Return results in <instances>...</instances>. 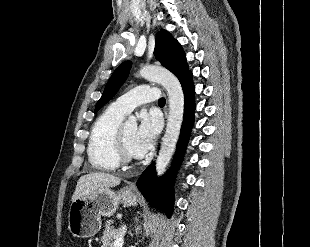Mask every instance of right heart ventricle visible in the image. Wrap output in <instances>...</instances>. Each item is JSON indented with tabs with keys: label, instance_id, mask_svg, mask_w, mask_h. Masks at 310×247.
<instances>
[{
	"label": "right heart ventricle",
	"instance_id": "1",
	"mask_svg": "<svg viewBox=\"0 0 310 247\" xmlns=\"http://www.w3.org/2000/svg\"><path fill=\"white\" fill-rule=\"evenodd\" d=\"M125 114L110 105L94 122L88 141V159L101 171H113L119 164L117 135Z\"/></svg>",
	"mask_w": 310,
	"mask_h": 247
}]
</instances>
